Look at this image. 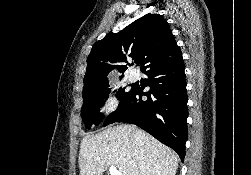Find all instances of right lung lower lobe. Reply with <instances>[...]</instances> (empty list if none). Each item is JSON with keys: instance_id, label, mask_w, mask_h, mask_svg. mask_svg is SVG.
<instances>
[{"instance_id": "right-lung-lower-lobe-1", "label": "right lung lower lobe", "mask_w": 251, "mask_h": 175, "mask_svg": "<svg viewBox=\"0 0 251 175\" xmlns=\"http://www.w3.org/2000/svg\"><path fill=\"white\" fill-rule=\"evenodd\" d=\"M184 61L179 60L145 72L150 90L132 88L111 113L104 126L115 123L135 124L177 152L183 161L187 129V94ZM142 95L148 99L142 100Z\"/></svg>"}]
</instances>
